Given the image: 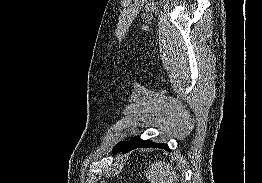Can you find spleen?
I'll list each match as a JSON object with an SVG mask.
<instances>
[{
	"instance_id": "3e777b00",
	"label": "spleen",
	"mask_w": 262,
	"mask_h": 183,
	"mask_svg": "<svg viewBox=\"0 0 262 183\" xmlns=\"http://www.w3.org/2000/svg\"><path fill=\"white\" fill-rule=\"evenodd\" d=\"M146 177L150 183H177L179 176L170 164L157 161L149 166Z\"/></svg>"
}]
</instances>
